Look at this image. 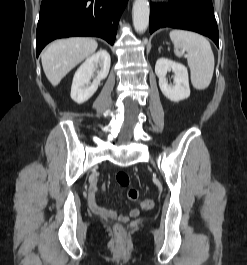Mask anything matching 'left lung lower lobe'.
Here are the masks:
<instances>
[{"label":"left lung lower lobe","instance_id":"obj_1","mask_svg":"<svg viewBox=\"0 0 247 265\" xmlns=\"http://www.w3.org/2000/svg\"><path fill=\"white\" fill-rule=\"evenodd\" d=\"M163 27L191 30L211 38L219 47V33L211 0H171L150 5V33Z\"/></svg>","mask_w":247,"mask_h":265}]
</instances>
